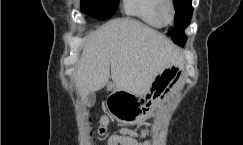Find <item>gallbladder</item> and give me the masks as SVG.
<instances>
[{
	"label": "gallbladder",
	"instance_id": "obj_1",
	"mask_svg": "<svg viewBox=\"0 0 243 145\" xmlns=\"http://www.w3.org/2000/svg\"><path fill=\"white\" fill-rule=\"evenodd\" d=\"M94 101H95V93L91 92L88 95V102L92 105L94 103Z\"/></svg>",
	"mask_w": 243,
	"mask_h": 145
}]
</instances>
